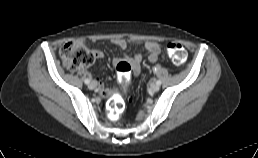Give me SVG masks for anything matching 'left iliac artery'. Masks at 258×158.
I'll use <instances>...</instances> for the list:
<instances>
[{
	"label": "left iliac artery",
	"mask_w": 258,
	"mask_h": 158,
	"mask_svg": "<svg viewBox=\"0 0 258 158\" xmlns=\"http://www.w3.org/2000/svg\"><path fill=\"white\" fill-rule=\"evenodd\" d=\"M156 84L161 85V81H160V80H157V81H156Z\"/></svg>",
	"instance_id": "left-iliac-artery-1"
}]
</instances>
